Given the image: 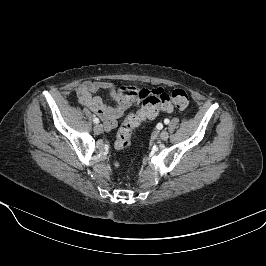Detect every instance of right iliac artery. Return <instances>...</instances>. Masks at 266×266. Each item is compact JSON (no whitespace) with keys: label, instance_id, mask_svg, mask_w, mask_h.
<instances>
[{"label":"right iliac artery","instance_id":"82829eb1","mask_svg":"<svg viewBox=\"0 0 266 266\" xmlns=\"http://www.w3.org/2000/svg\"><path fill=\"white\" fill-rule=\"evenodd\" d=\"M93 121H94V123H96V124L99 123V119H98V118H94Z\"/></svg>","mask_w":266,"mask_h":266}]
</instances>
